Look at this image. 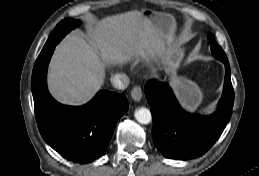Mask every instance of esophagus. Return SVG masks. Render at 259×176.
Returning <instances> with one entry per match:
<instances>
[{"label":"esophagus","mask_w":259,"mask_h":176,"mask_svg":"<svg viewBox=\"0 0 259 176\" xmlns=\"http://www.w3.org/2000/svg\"><path fill=\"white\" fill-rule=\"evenodd\" d=\"M131 97L133 98L134 101H140L142 98V89L140 86H135L131 90Z\"/></svg>","instance_id":"esophagus-1"}]
</instances>
